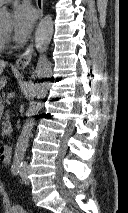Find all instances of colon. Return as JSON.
<instances>
[{
	"instance_id": "obj_1",
	"label": "colon",
	"mask_w": 128,
	"mask_h": 213,
	"mask_svg": "<svg viewBox=\"0 0 128 213\" xmlns=\"http://www.w3.org/2000/svg\"><path fill=\"white\" fill-rule=\"evenodd\" d=\"M10 211L11 213H29L28 211L24 210L22 207L15 203H11Z\"/></svg>"
}]
</instances>
